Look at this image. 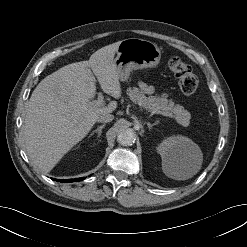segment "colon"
Listing matches in <instances>:
<instances>
[{"label":"colon","instance_id":"colon-1","mask_svg":"<svg viewBox=\"0 0 247 247\" xmlns=\"http://www.w3.org/2000/svg\"><path fill=\"white\" fill-rule=\"evenodd\" d=\"M168 68L178 79V84L184 94L191 95L198 88V80L191 67L178 57H171Z\"/></svg>","mask_w":247,"mask_h":247}]
</instances>
